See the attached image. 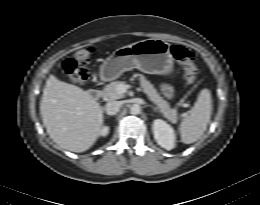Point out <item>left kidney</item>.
Returning a JSON list of instances; mask_svg holds the SVG:
<instances>
[{"label": "left kidney", "instance_id": "1", "mask_svg": "<svg viewBox=\"0 0 260 205\" xmlns=\"http://www.w3.org/2000/svg\"><path fill=\"white\" fill-rule=\"evenodd\" d=\"M153 133L157 143L166 150H171L175 147V133L173 128L161 119L153 122Z\"/></svg>", "mask_w": 260, "mask_h": 205}]
</instances>
